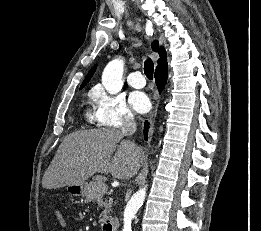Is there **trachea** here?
I'll return each instance as SVG.
<instances>
[{"instance_id":"trachea-1","label":"trachea","mask_w":261,"mask_h":231,"mask_svg":"<svg viewBox=\"0 0 261 231\" xmlns=\"http://www.w3.org/2000/svg\"><path fill=\"white\" fill-rule=\"evenodd\" d=\"M144 72L148 79H153V72H154V64L151 59H147L144 62Z\"/></svg>"}]
</instances>
